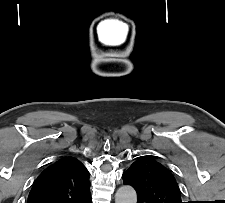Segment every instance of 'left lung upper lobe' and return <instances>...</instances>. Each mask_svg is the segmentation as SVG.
Here are the masks:
<instances>
[{
    "label": "left lung upper lobe",
    "instance_id": "obj_1",
    "mask_svg": "<svg viewBox=\"0 0 225 203\" xmlns=\"http://www.w3.org/2000/svg\"><path fill=\"white\" fill-rule=\"evenodd\" d=\"M122 177L136 190L137 203H182L173 174L152 158L138 157Z\"/></svg>",
    "mask_w": 225,
    "mask_h": 203
}]
</instances>
